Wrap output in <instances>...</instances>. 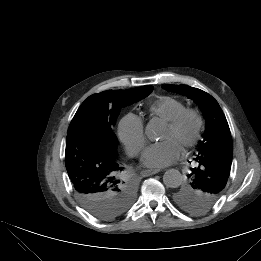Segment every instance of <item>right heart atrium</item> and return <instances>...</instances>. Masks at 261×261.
Returning a JSON list of instances; mask_svg holds the SVG:
<instances>
[{"instance_id":"1","label":"right heart atrium","mask_w":261,"mask_h":261,"mask_svg":"<svg viewBox=\"0 0 261 261\" xmlns=\"http://www.w3.org/2000/svg\"><path fill=\"white\" fill-rule=\"evenodd\" d=\"M118 137L131 156L140 154L146 144L143 120L136 114H126L118 124Z\"/></svg>"}]
</instances>
